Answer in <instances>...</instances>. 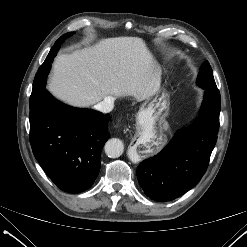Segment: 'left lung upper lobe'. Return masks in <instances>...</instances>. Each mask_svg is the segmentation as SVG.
Returning <instances> with one entry per match:
<instances>
[{
	"instance_id": "5c2ea615",
	"label": "left lung upper lobe",
	"mask_w": 247,
	"mask_h": 247,
	"mask_svg": "<svg viewBox=\"0 0 247 247\" xmlns=\"http://www.w3.org/2000/svg\"><path fill=\"white\" fill-rule=\"evenodd\" d=\"M196 82L200 87L205 89V91H208L214 95L220 96L219 90L216 86V83L213 77L212 69L208 61H205L202 64Z\"/></svg>"
}]
</instances>
